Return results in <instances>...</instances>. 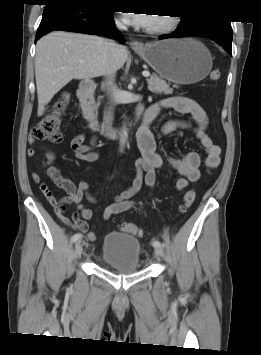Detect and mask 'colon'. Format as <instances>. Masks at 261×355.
<instances>
[{
    "instance_id": "5ec220e1",
    "label": "colon",
    "mask_w": 261,
    "mask_h": 355,
    "mask_svg": "<svg viewBox=\"0 0 261 355\" xmlns=\"http://www.w3.org/2000/svg\"><path fill=\"white\" fill-rule=\"evenodd\" d=\"M221 77V72L219 70H213L210 73V79L212 81H217ZM69 101V93L64 92L60 99L56 102L54 106V111L45 117H43L40 122L32 129L31 136L36 140H46L52 143H59L62 141L63 136L60 131L61 117L65 112L67 103ZM48 195V193L46 192ZM196 193L194 190H189L185 193L183 197L182 204L180 205V212L185 213L191 205L194 203ZM120 229L129 234L141 235L142 231L140 227L134 223H121Z\"/></svg>"
}]
</instances>
